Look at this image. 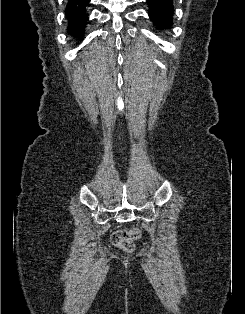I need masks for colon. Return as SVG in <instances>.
I'll use <instances>...</instances> for the list:
<instances>
[{
  "mask_svg": "<svg viewBox=\"0 0 245 314\" xmlns=\"http://www.w3.org/2000/svg\"><path fill=\"white\" fill-rule=\"evenodd\" d=\"M141 238V232L137 228H132L124 231H117L112 234L111 242L116 247L123 249L124 251H132L134 248V242Z\"/></svg>",
  "mask_w": 245,
  "mask_h": 314,
  "instance_id": "1",
  "label": "colon"
}]
</instances>
